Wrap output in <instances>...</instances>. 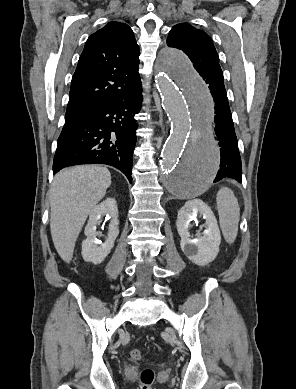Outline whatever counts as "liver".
<instances>
[{"label": "liver", "instance_id": "1", "mask_svg": "<svg viewBox=\"0 0 296 389\" xmlns=\"http://www.w3.org/2000/svg\"><path fill=\"white\" fill-rule=\"evenodd\" d=\"M110 184L109 170L98 165L64 169L55 176L50 189V230L65 262L72 260L78 235Z\"/></svg>", "mask_w": 296, "mask_h": 389}]
</instances>
